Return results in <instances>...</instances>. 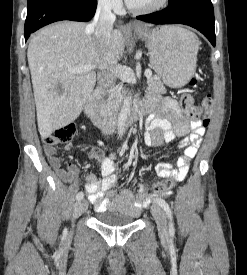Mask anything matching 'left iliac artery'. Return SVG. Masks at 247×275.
Segmentation results:
<instances>
[{"label":"left iliac artery","mask_w":247,"mask_h":275,"mask_svg":"<svg viewBox=\"0 0 247 275\" xmlns=\"http://www.w3.org/2000/svg\"><path fill=\"white\" fill-rule=\"evenodd\" d=\"M154 201L164 209V211L166 212L168 218H169V233L170 235H173L175 232L174 229V224H173V220H172V211L170 209L169 204L162 198H155Z\"/></svg>","instance_id":"1"}]
</instances>
